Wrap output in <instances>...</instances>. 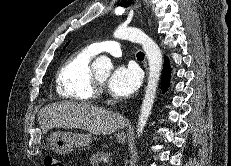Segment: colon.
<instances>
[{
  "instance_id": "obj_1",
  "label": "colon",
  "mask_w": 231,
  "mask_h": 166,
  "mask_svg": "<svg viewBox=\"0 0 231 166\" xmlns=\"http://www.w3.org/2000/svg\"><path fill=\"white\" fill-rule=\"evenodd\" d=\"M45 166H68L65 162L59 160L55 156H47L45 158Z\"/></svg>"
}]
</instances>
